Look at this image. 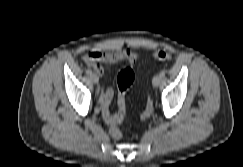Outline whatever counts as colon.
Instances as JSON below:
<instances>
[{"mask_svg": "<svg viewBox=\"0 0 243 167\" xmlns=\"http://www.w3.org/2000/svg\"><path fill=\"white\" fill-rule=\"evenodd\" d=\"M171 54L165 50H159L153 53V58L157 61H169L171 59ZM135 79L134 70L131 67H126L122 69L117 77V86L119 91V104H120V115L119 122L112 123L110 126V134L113 138H120L121 132L119 131L117 124L126 119V109H125V93L126 90L133 84ZM154 107L151 99L147 101L145 110L141 114L143 120L148 119L153 113Z\"/></svg>", "mask_w": 243, "mask_h": 167, "instance_id": "obj_1", "label": "colon"}]
</instances>
